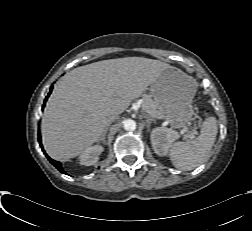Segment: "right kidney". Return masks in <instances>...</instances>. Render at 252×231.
Here are the masks:
<instances>
[{
  "instance_id": "1",
  "label": "right kidney",
  "mask_w": 252,
  "mask_h": 231,
  "mask_svg": "<svg viewBox=\"0 0 252 231\" xmlns=\"http://www.w3.org/2000/svg\"><path fill=\"white\" fill-rule=\"evenodd\" d=\"M103 151V147L99 145H94L87 148L80 156L79 163L85 166L94 165L98 160L99 156Z\"/></svg>"
}]
</instances>
